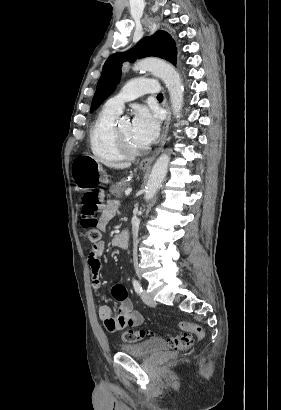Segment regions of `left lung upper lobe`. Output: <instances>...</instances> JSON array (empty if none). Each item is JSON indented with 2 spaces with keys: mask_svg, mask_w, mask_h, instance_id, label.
<instances>
[{
  "mask_svg": "<svg viewBox=\"0 0 281 410\" xmlns=\"http://www.w3.org/2000/svg\"><path fill=\"white\" fill-rule=\"evenodd\" d=\"M156 56L176 64L177 49L171 36L162 30H158L151 37L142 39L131 50L125 53H115L105 62L102 75L98 81L96 92L92 100L90 112L99 105L115 90L121 77L123 62H133L137 58Z\"/></svg>",
  "mask_w": 281,
  "mask_h": 410,
  "instance_id": "1",
  "label": "left lung upper lobe"
}]
</instances>
